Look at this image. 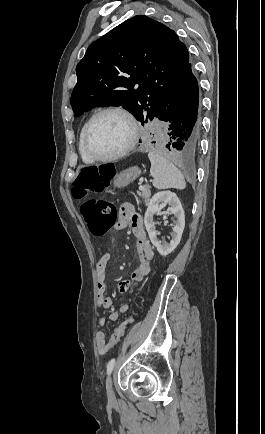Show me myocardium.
<instances>
[{"instance_id": "obj_1", "label": "myocardium", "mask_w": 265, "mask_h": 434, "mask_svg": "<svg viewBox=\"0 0 265 434\" xmlns=\"http://www.w3.org/2000/svg\"><path fill=\"white\" fill-rule=\"evenodd\" d=\"M111 112L120 113L127 118L131 126V138L128 145L120 152L109 156H100L92 150L90 146V136L92 135L93 127L96 121L102 115ZM138 139H139V126L137 124L135 116L131 113L130 110H128L126 107L122 105H111L98 110L96 113L92 115V117L87 123L85 134L82 138V148L84 154L92 161L99 162V163H106V162L122 159L127 155H129L135 149L138 143Z\"/></svg>"}]
</instances>
